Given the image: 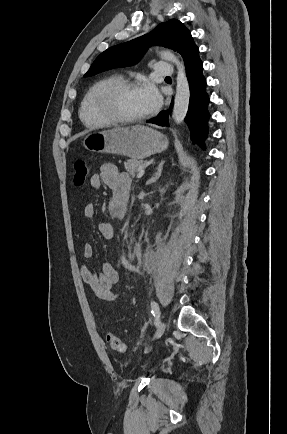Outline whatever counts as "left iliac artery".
I'll return each mask as SVG.
<instances>
[{
    "instance_id": "obj_1",
    "label": "left iliac artery",
    "mask_w": 287,
    "mask_h": 434,
    "mask_svg": "<svg viewBox=\"0 0 287 434\" xmlns=\"http://www.w3.org/2000/svg\"><path fill=\"white\" fill-rule=\"evenodd\" d=\"M151 312L154 317L159 318L160 317V309L158 306V303L155 301L151 302Z\"/></svg>"
}]
</instances>
